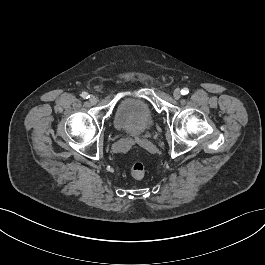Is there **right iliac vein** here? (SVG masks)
I'll return each instance as SVG.
<instances>
[{"instance_id":"right-iliac-vein-1","label":"right iliac vein","mask_w":265,"mask_h":265,"mask_svg":"<svg viewBox=\"0 0 265 265\" xmlns=\"http://www.w3.org/2000/svg\"><path fill=\"white\" fill-rule=\"evenodd\" d=\"M89 101L92 104H96L98 102V99H97V97H95V96L92 95V96H90Z\"/></svg>"}]
</instances>
